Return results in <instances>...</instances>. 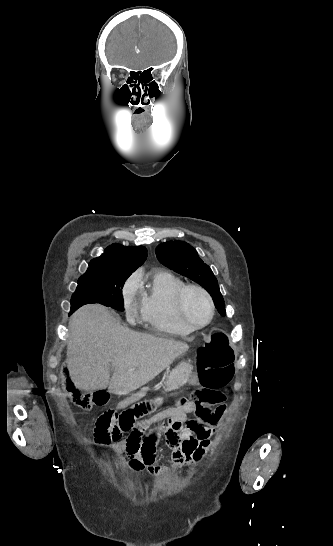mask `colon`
Returning <instances> with one entry per match:
<instances>
[{
  "instance_id": "obj_1",
  "label": "colon",
  "mask_w": 333,
  "mask_h": 546,
  "mask_svg": "<svg viewBox=\"0 0 333 546\" xmlns=\"http://www.w3.org/2000/svg\"><path fill=\"white\" fill-rule=\"evenodd\" d=\"M198 380L205 388L197 393L199 400L205 399L202 392L205 390H220L227 386L234 374L233 350L227 337L222 333H215L210 340L198 349ZM68 380V392L75 405L90 410L95 405H103L108 400V395L102 391L94 393L82 392L76 389L70 376V368H65ZM138 402V404H137ZM131 400L125 406L124 411L108 410L96 421L94 437L97 444L109 446L121 441L124 434L128 433L130 418H142L154 411L158 401L150 400L148 396H140L138 401ZM185 399L178 401V405H184Z\"/></svg>"
}]
</instances>
